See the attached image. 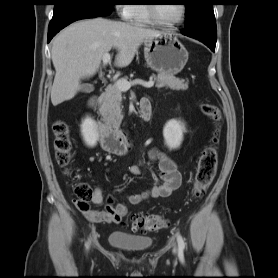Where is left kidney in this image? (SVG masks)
<instances>
[{"mask_svg":"<svg viewBox=\"0 0 278 278\" xmlns=\"http://www.w3.org/2000/svg\"><path fill=\"white\" fill-rule=\"evenodd\" d=\"M186 132L185 124L179 120H169L163 128V137L169 149H177L183 141V134Z\"/></svg>","mask_w":278,"mask_h":278,"instance_id":"left-kidney-1","label":"left kidney"}]
</instances>
